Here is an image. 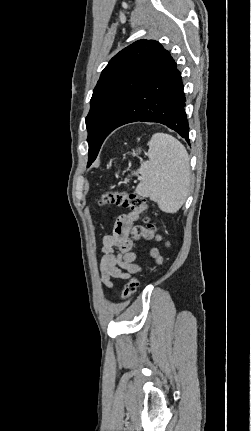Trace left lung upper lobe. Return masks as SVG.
<instances>
[{"instance_id":"left-lung-upper-lobe-1","label":"left lung upper lobe","mask_w":251,"mask_h":431,"mask_svg":"<svg viewBox=\"0 0 251 431\" xmlns=\"http://www.w3.org/2000/svg\"><path fill=\"white\" fill-rule=\"evenodd\" d=\"M162 51L154 40H139L115 55L102 71L86 117L87 166L96 159L106 133L121 121Z\"/></svg>"}]
</instances>
